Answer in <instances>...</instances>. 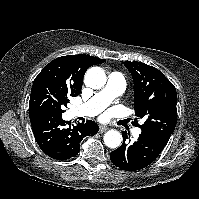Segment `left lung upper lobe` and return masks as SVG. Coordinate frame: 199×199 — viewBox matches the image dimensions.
I'll return each mask as SVG.
<instances>
[{
	"instance_id": "left-lung-upper-lobe-1",
	"label": "left lung upper lobe",
	"mask_w": 199,
	"mask_h": 199,
	"mask_svg": "<svg viewBox=\"0 0 199 199\" xmlns=\"http://www.w3.org/2000/svg\"><path fill=\"white\" fill-rule=\"evenodd\" d=\"M134 81V109L145 118L142 133L168 142L177 123V94L174 85L158 69L142 62H124ZM138 126L137 118L133 122Z\"/></svg>"
}]
</instances>
